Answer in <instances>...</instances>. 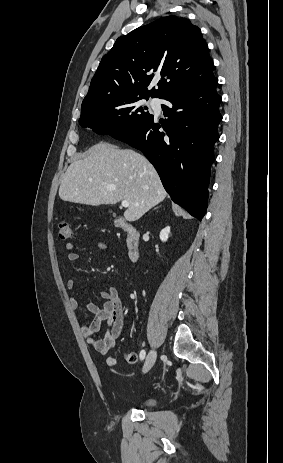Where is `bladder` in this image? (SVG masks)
<instances>
[{
	"mask_svg": "<svg viewBox=\"0 0 283 463\" xmlns=\"http://www.w3.org/2000/svg\"><path fill=\"white\" fill-rule=\"evenodd\" d=\"M155 399L151 396H144L134 400V403L143 407H150L154 404Z\"/></svg>",
	"mask_w": 283,
	"mask_h": 463,
	"instance_id": "bladder-1",
	"label": "bladder"
}]
</instances>
